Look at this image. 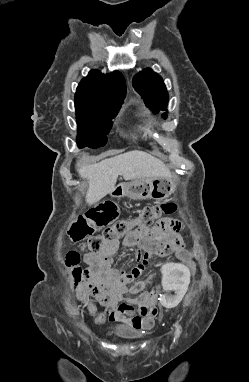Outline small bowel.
<instances>
[{
    "label": "small bowel",
    "instance_id": "1",
    "mask_svg": "<svg viewBox=\"0 0 249 382\" xmlns=\"http://www.w3.org/2000/svg\"><path fill=\"white\" fill-rule=\"evenodd\" d=\"M181 230L182 223L178 219L165 217L150 228L136 229L123 239L106 244L99 252L84 254L83 261L87 268L79 292L95 322L101 324L110 321L140 331L149 330L154 326V316L157 312L152 314L151 311L155 310V300L159 298L145 291L148 280L141 279L131 284L135 279L133 276L113 268V256L121 246L132 247L134 251V246L138 244H143L146 248L158 247L161 252L179 253L183 248ZM132 259L135 262L142 261L143 254L136 252ZM127 293L138 296L130 298L126 296ZM95 302L105 307V311L100 315L97 314Z\"/></svg>",
    "mask_w": 249,
    "mask_h": 382
}]
</instances>
